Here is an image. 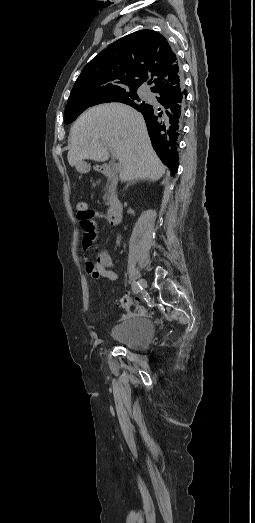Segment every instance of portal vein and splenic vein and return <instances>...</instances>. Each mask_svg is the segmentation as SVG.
I'll return each mask as SVG.
<instances>
[{
    "label": "portal vein and splenic vein",
    "mask_w": 255,
    "mask_h": 523,
    "mask_svg": "<svg viewBox=\"0 0 255 523\" xmlns=\"http://www.w3.org/2000/svg\"><path fill=\"white\" fill-rule=\"evenodd\" d=\"M113 156H115V154H113ZM120 170H121L120 163H115L114 174H119Z\"/></svg>",
    "instance_id": "obj_1"
}]
</instances>
